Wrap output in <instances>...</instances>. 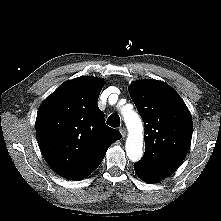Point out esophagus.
Returning a JSON list of instances; mask_svg holds the SVG:
<instances>
[{
    "mask_svg": "<svg viewBox=\"0 0 221 221\" xmlns=\"http://www.w3.org/2000/svg\"><path fill=\"white\" fill-rule=\"evenodd\" d=\"M119 131L121 132L122 137L124 138L127 134V130L126 128L123 126L119 129Z\"/></svg>",
    "mask_w": 221,
    "mask_h": 221,
    "instance_id": "esophagus-1",
    "label": "esophagus"
}]
</instances>
